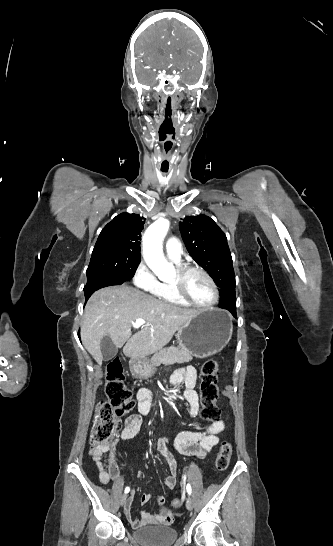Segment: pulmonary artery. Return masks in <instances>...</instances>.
<instances>
[{
    "mask_svg": "<svg viewBox=\"0 0 333 546\" xmlns=\"http://www.w3.org/2000/svg\"><path fill=\"white\" fill-rule=\"evenodd\" d=\"M165 250L170 259L174 262H179L182 254V247L180 241L176 237H172L167 240Z\"/></svg>",
    "mask_w": 333,
    "mask_h": 546,
    "instance_id": "1",
    "label": "pulmonary artery"
}]
</instances>
